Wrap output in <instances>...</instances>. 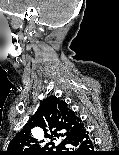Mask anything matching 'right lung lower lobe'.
I'll return each mask as SVG.
<instances>
[{
  "label": "right lung lower lobe",
  "instance_id": "1",
  "mask_svg": "<svg viewBox=\"0 0 119 155\" xmlns=\"http://www.w3.org/2000/svg\"><path fill=\"white\" fill-rule=\"evenodd\" d=\"M67 145V147H65ZM64 150V151H62ZM57 155H98L85 128L69 138Z\"/></svg>",
  "mask_w": 119,
  "mask_h": 155
}]
</instances>
